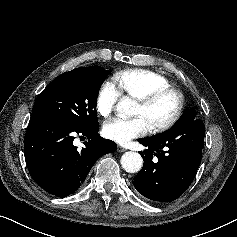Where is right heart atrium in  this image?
Returning a JSON list of instances; mask_svg holds the SVG:
<instances>
[{
	"mask_svg": "<svg viewBox=\"0 0 237 237\" xmlns=\"http://www.w3.org/2000/svg\"><path fill=\"white\" fill-rule=\"evenodd\" d=\"M120 96L121 91L116 83L110 79L105 80L96 95L95 105L98 114L103 118L110 117Z\"/></svg>",
	"mask_w": 237,
	"mask_h": 237,
	"instance_id": "1",
	"label": "right heart atrium"
}]
</instances>
